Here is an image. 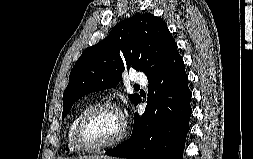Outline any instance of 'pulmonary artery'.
<instances>
[{
    "mask_svg": "<svg viewBox=\"0 0 253 159\" xmlns=\"http://www.w3.org/2000/svg\"><path fill=\"white\" fill-rule=\"evenodd\" d=\"M131 80H132V83L135 84V85H146L148 80H147V77L145 75V73L141 72V71H135L132 73L131 75Z\"/></svg>",
    "mask_w": 253,
    "mask_h": 159,
    "instance_id": "pulmonary-artery-1",
    "label": "pulmonary artery"
}]
</instances>
